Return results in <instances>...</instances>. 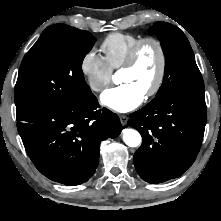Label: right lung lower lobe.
Returning <instances> with one entry per match:
<instances>
[{"mask_svg":"<svg viewBox=\"0 0 221 221\" xmlns=\"http://www.w3.org/2000/svg\"><path fill=\"white\" fill-rule=\"evenodd\" d=\"M90 93L75 104L33 113L17 129L35 167L47 178L68 186L87 182L99 163L100 142L117 137L118 116Z\"/></svg>","mask_w":221,"mask_h":221,"instance_id":"obj_1","label":"right lung lower lobe"}]
</instances>
